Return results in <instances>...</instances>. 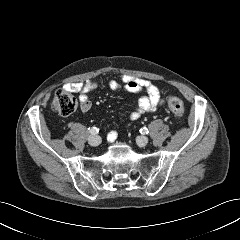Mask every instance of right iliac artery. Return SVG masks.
<instances>
[{
  "label": "right iliac artery",
  "instance_id": "obj_1",
  "mask_svg": "<svg viewBox=\"0 0 240 240\" xmlns=\"http://www.w3.org/2000/svg\"><path fill=\"white\" fill-rule=\"evenodd\" d=\"M88 130H89V132H90L91 134H93V135H95L96 133L99 132V129L96 128V127H91V128H89Z\"/></svg>",
  "mask_w": 240,
  "mask_h": 240
}]
</instances>
